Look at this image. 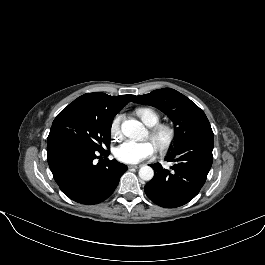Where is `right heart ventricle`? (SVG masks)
Masks as SVG:
<instances>
[{
  "mask_svg": "<svg viewBox=\"0 0 265 265\" xmlns=\"http://www.w3.org/2000/svg\"><path fill=\"white\" fill-rule=\"evenodd\" d=\"M137 116L142 120V122L149 126L153 127L160 122V115L157 111L148 107H140L136 109Z\"/></svg>",
  "mask_w": 265,
  "mask_h": 265,
  "instance_id": "1",
  "label": "right heart ventricle"
}]
</instances>
